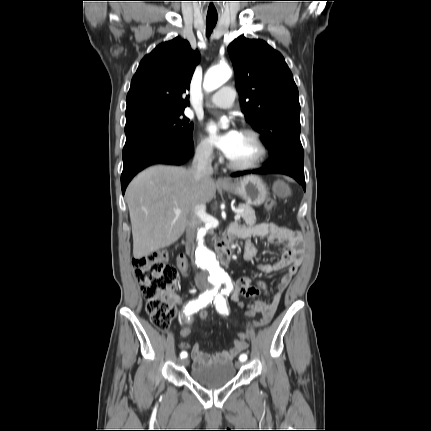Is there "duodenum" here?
<instances>
[{"instance_id": "duodenum-1", "label": "duodenum", "mask_w": 431, "mask_h": 431, "mask_svg": "<svg viewBox=\"0 0 431 431\" xmlns=\"http://www.w3.org/2000/svg\"><path fill=\"white\" fill-rule=\"evenodd\" d=\"M236 236L234 231L230 232V239H225L221 241L218 245V254L222 264H229L231 261L232 250H233V241L232 238ZM179 258L183 259L186 263V257L184 255L179 256Z\"/></svg>"}]
</instances>
